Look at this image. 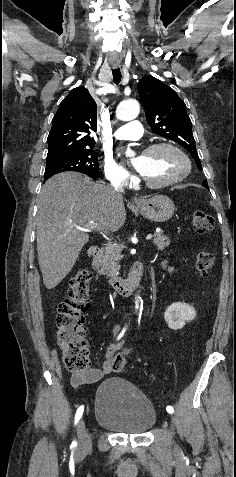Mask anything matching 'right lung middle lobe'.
<instances>
[{"label":"right lung middle lobe","instance_id":"right-lung-middle-lobe-1","mask_svg":"<svg viewBox=\"0 0 236 477\" xmlns=\"http://www.w3.org/2000/svg\"><path fill=\"white\" fill-rule=\"evenodd\" d=\"M93 147L94 145L82 148L67 156L47 160L44 179L47 180L51 176L65 171L80 172L91 178H97L99 164Z\"/></svg>","mask_w":236,"mask_h":477}]
</instances>
